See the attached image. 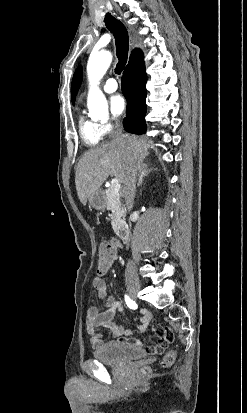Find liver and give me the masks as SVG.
<instances>
[{
	"instance_id": "obj_1",
	"label": "liver",
	"mask_w": 247,
	"mask_h": 413,
	"mask_svg": "<svg viewBox=\"0 0 247 413\" xmlns=\"http://www.w3.org/2000/svg\"><path fill=\"white\" fill-rule=\"evenodd\" d=\"M128 144L134 146L142 160L148 156V148L153 142L143 136L131 134L130 142L110 140L83 152L75 170L76 190L82 204H86L88 196L98 190L108 176H116L119 182H123Z\"/></svg>"
}]
</instances>
